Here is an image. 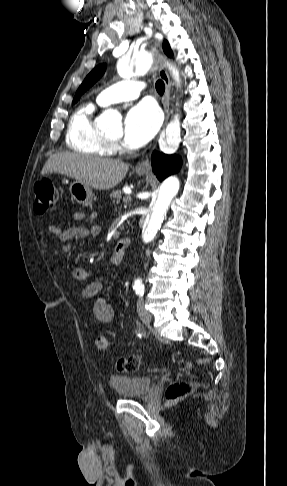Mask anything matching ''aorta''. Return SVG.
Listing matches in <instances>:
<instances>
[{"mask_svg":"<svg viewBox=\"0 0 287 486\" xmlns=\"http://www.w3.org/2000/svg\"><path fill=\"white\" fill-rule=\"evenodd\" d=\"M154 64V57L152 54H145L135 63V71L133 65L129 63V60L122 58L117 63L118 74L123 78H128L133 75L140 74L148 71ZM167 66L172 72V76L175 79L177 85L180 84L179 72L170 63L167 62ZM98 124L105 128H119L121 126V119L119 114L114 110L104 111L98 118ZM181 141V128L178 115L167 125L166 138L163 142V147L166 149H176ZM178 184L174 179H167L160 186L157 194V198L150 205V209L142 228V240L144 243L151 242L166 215L167 209L177 193ZM142 282L135 280V286H141Z\"/></svg>","mask_w":287,"mask_h":486,"instance_id":"1","label":"aorta"}]
</instances>
